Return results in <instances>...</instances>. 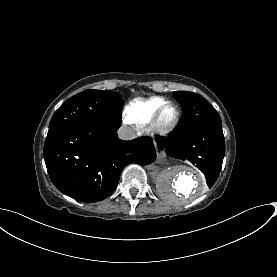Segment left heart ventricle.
I'll use <instances>...</instances> for the list:
<instances>
[{
  "mask_svg": "<svg viewBox=\"0 0 277 277\" xmlns=\"http://www.w3.org/2000/svg\"><path fill=\"white\" fill-rule=\"evenodd\" d=\"M174 117H175V108L169 107L163 112L161 123L165 126L169 125L173 121Z\"/></svg>",
  "mask_w": 277,
  "mask_h": 277,
  "instance_id": "obj_1",
  "label": "left heart ventricle"
}]
</instances>
